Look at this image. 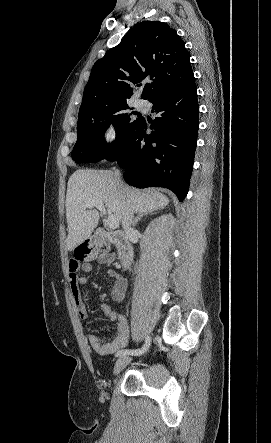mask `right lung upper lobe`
I'll use <instances>...</instances> for the list:
<instances>
[{
	"label": "right lung upper lobe",
	"instance_id": "obj_1",
	"mask_svg": "<svg viewBox=\"0 0 271 443\" xmlns=\"http://www.w3.org/2000/svg\"><path fill=\"white\" fill-rule=\"evenodd\" d=\"M146 79L141 98L152 100L164 90L194 79L184 43L176 31L159 21L133 27L93 66L84 89L80 118L101 117L127 105L136 87Z\"/></svg>",
	"mask_w": 271,
	"mask_h": 443
}]
</instances>
